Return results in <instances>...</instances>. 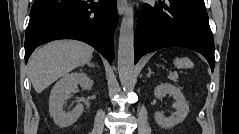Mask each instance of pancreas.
I'll return each instance as SVG.
<instances>
[{"label":"pancreas","mask_w":239,"mask_h":134,"mask_svg":"<svg viewBox=\"0 0 239 134\" xmlns=\"http://www.w3.org/2000/svg\"><path fill=\"white\" fill-rule=\"evenodd\" d=\"M170 79L176 82L178 80V75L177 74H171Z\"/></svg>","instance_id":"cf45deb5"}]
</instances>
